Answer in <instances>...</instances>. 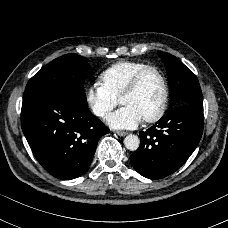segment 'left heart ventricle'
Returning a JSON list of instances; mask_svg holds the SVG:
<instances>
[{"instance_id":"left-heart-ventricle-1","label":"left heart ventricle","mask_w":228,"mask_h":228,"mask_svg":"<svg viewBox=\"0 0 228 228\" xmlns=\"http://www.w3.org/2000/svg\"><path fill=\"white\" fill-rule=\"evenodd\" d=\"M164 99V87L161 78L155 72H149L141 81L138 89L126 96L125 106L134 108L142 118L155 114Z\"/></svg>"}]
</instances>
